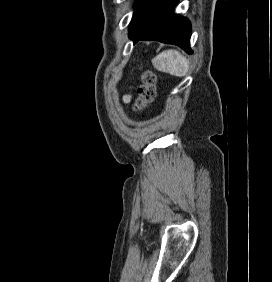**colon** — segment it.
Masks as SVG:
<instances>
[{"instance_id":"5ec220e1","label":"colon","mask_w":272,"mask_h":282,"mask_svg":"<svg viewBox=\"0 0 272 282\" xmlns=\"http://www.w3.org/2000/svg\"><path fill=\"white\" fill-rule=\"evenodd\" d=\"M155 75L150 71H145L142 75V82L138 87V98L135 101L134 108L141 111L147 108L155 97Z\"/></svg>"}]
</instances>
